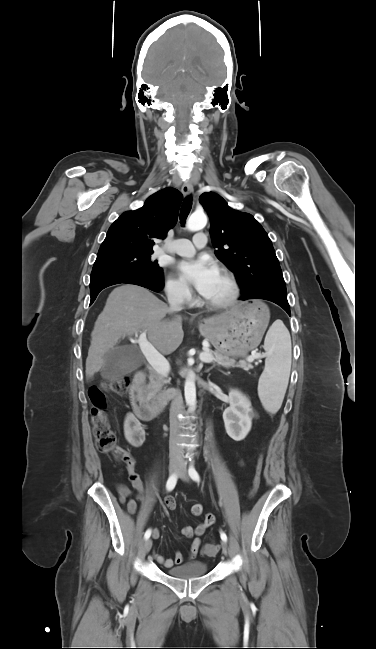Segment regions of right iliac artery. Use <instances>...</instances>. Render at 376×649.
<instances>
[{
	"label": "right iliac artery",
	"instance_id": "82829eb1",
	"mask_svg": "<svg viewBox=\"0 0 376 649\" xmlns=\"http://www.w3.org/2000/svg\"><path fill=\"white\" fill-rule=\"evenodd\" d=\"M176 483H177V475L174 473L167 480V483H166L167 490L172 491L174 489ZM150 536H151V529H148L145 532L144 538L147 540Z\"/></svg>",
	"mask_w": 376,
	"mask_h": 649
}]
</instances>
